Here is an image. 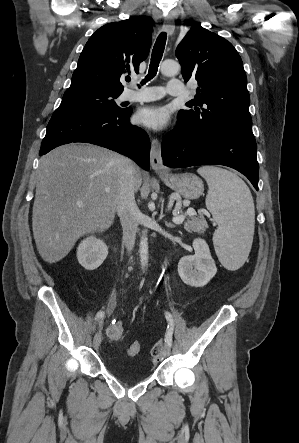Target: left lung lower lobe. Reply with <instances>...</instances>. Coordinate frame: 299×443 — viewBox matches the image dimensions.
<instances>
[{"mask_svg": "<svg viewBox=\"0 0 299 443\" xmlns=\"http://www.w3.org/2000/svg\"><path fill=\"white\" fill-rule=\"evenodd\" d=\"M164 165L181 168L218 164L244 174L258 190V162L256 141L250 131L196 130L178 118L175 130L163 139Z\"/></svg>", "mask_w": 299, "mask_h": 443, "instance_id": "1", "label": "left lung lower lobe"}]
</instances>
